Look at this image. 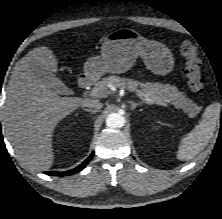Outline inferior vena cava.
Returning <instances> with one entry per match:
<instances>
[{"label": "inferior vena cava", "mask_w": 222, "mask_h": 219, "mask_svg": "<svg viewBox=\"0 0 222 219\" xmlns=\"http://www.w3.org/2000/svg\"><path fill=\"white\" fill-rule=\"evenodd\" d=\"M82 106L92 108L98 111L102 108L103 104L99 100H87L86 102L83 103Z\"/></svg>", "instance_id": "obj_1"}]
</instances>
